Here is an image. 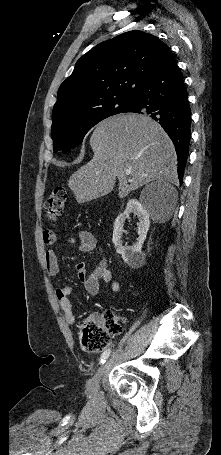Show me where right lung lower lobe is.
Listing matches in <instances>:
<instances>
[{
  "label": "right lung lower lobe",
  "mask_w": 221,
  "mask_h": 455,
  "mask_svg": "<svg viewBox=\"0 0 221 455\" xmlns=\"http://www.w3.org/2000/svg\"><path fill=\"white\" fill-rule=\"evenodd\" d=\"M124 112L148 115L163 127L175 146L182 183L191 139V110L183 77L171 51L141 85Z\"/></svg>",
  "instance_id": "98d812e1"
}]
</instances>
